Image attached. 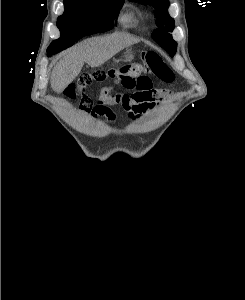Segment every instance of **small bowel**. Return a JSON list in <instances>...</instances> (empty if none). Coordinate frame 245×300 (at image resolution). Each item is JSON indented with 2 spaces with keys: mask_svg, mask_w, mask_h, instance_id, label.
Segmentation results:
<instances>
[{
  "mask_svg": "<svg viewBox=\"0 0 245 300\" xmlns=\"http://www.w3.org/2000/svg\"><path fill=\"white\" fill-rule=\"evenodd\" d=\"M127 90L129 92L113 93L111 88H104L95 103L84 94L81 110L93 120L105 117L109 122H115L116 114L110 108L111 105L122 106L132 120H138L158 105L159 99L155 96L152 81L146 76H142L133 88Z\"/></svg>",
  "mask_w": 245,
  "mask_h": 300,
  "instance_id": "small-bowel-1",
  "label": "small bowel"
}]
</instances>
